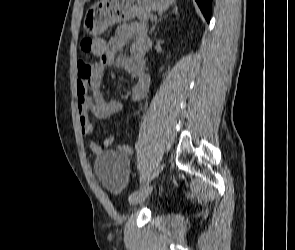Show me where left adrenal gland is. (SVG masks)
<instances>
[{
	"label": "left adrenal gland",
	"instance_id": "left-adrenal-gland-1",
	"mask_svg": "<svg viewBox=\"0 0 295 250\" xmlns=\"http://www.w3.org/2000/svg\"><path fill=\"white\" fill-rule=\"evenodd\" d=\"M173 13L175 14V15H179V13H178V8L177 7H175L174 9H173ZM161 20V19H160ZM159 20V21H160ZM157 22L158 21H155V23H154V25H153V27L151 28V31H150V33H152L153 31H154V29H155V27H156V25H157Z\"/></svg>",
	"mask_w": 295,
	"mask_h": 250
}]
</instances>
